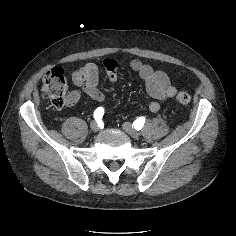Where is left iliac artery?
I'll return each instance as SVG.
<instances>
[{"mask_svg": "<svg viewBox=\"0 0 236 236\" xmlns=\"http://www.w3.org/2000/svg\"><path fill=\"white\" fill-rule=\"evenodd\" d=\"M144 123H145V117H139L133 122V126L137 131H139L142 129Z\"/></svg>", "mask_w": 236, "mask_h": 236, "instance_id": "44dca946", "label": "left iliac artery"}]
</instances>
